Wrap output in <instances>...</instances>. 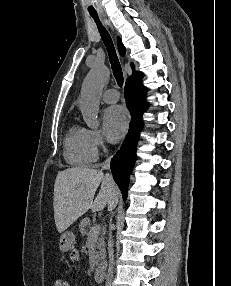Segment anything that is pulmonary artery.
Wrapping results in <instances>:
<instances>
[{
    "mask_svg": "<svg viewBox=\"0 0 231 286\" xmlns=\"http://www.w3.org/2000/svg\"><path fill=\"white\" fill-rule=\"evenodd\" d=\"M120 95L119 92L115 88H109L104 91L102 95V99L106 103H115L119 100Z\"/></svg>",
    "mask_w": 231,
    "mask_h": 286,
    "instance_id": "obj_1",
    "label": "pulmonary artery"
}]
</instances>
